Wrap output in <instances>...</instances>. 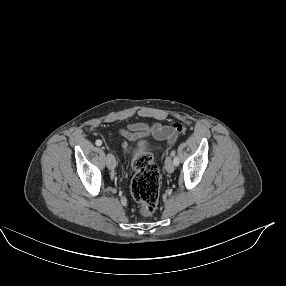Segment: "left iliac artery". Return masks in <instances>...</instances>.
Masks as SVG:
<instances>
[{"label": "left iliac artery", "instance_id": "44dca946", "mask_svg": "<svg viewBox=\"0 0 286 286\" xmlns=\"http://www.w3.org/2000/svg\"><path fill=\"white\" fill-rule=\"evenodd\" d=\"M172 156H174L173 163L175 166L179 165V158L175 156V151L172 152Z\"/></svg>", "mask_w": 286, "mask_h": 286}]
</instances>
